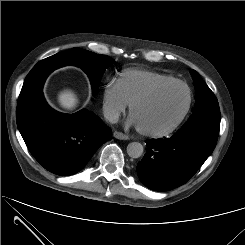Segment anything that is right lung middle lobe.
<instances>
[{
  "label": "right lung middle lobe",
  "mask_w": 245,
  "mask_h": 245,
  "mask_svg": "<svg viewBox=\"0 0 245 245\" xmlns=\"http://www.w3.org/2000/svg\"><path fill=\"white\" fill-rule=\"evenodd\" d=\"M51 62L58 68L65 65H75L83 69L89 75L92 83V89L95 93L98 89L103 72L115 61L106 55L96 54L80 48H72L68 51L51 56ZM32 71L33 75H36L35 70H31V72ZM38 94L33 92V88L30 83L23 84L18 99V107L25 105Z\"/></svg>",
  "instance_id": "obj_1"
}]
</instances>
